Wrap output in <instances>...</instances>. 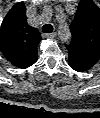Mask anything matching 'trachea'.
Returning <instances> with one entry per match:
<instances>
[{"label": "trachea", "instance_id": "trachea-1", "mask_svg": "<svg viewBox=\"0 0 100 118\" xmlns=\"http://www.w3.org/2000/svg\"><path fill=\"white\" fill-rule=\"evenodd\" d=\"M43 33H51L53 31V26L51 24H45L42 26Z\"/></svg>", "mask_w": 100, "mask_h": 118}]
</instances>
